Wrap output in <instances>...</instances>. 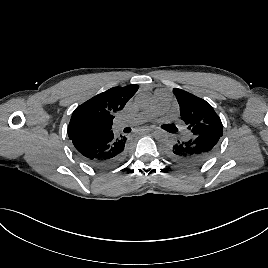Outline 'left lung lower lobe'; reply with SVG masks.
Returning a JSON list of instances; mask_svg holds the SVG:
<instances>
[{
    "mask_svg": "<svg viewBox=\"0 0 268 268\" xmlns=\"http://www.w3.org/2000/svg\"><path fill=\"white\" fill-rule=\"evenodd\" d=\"M220 138L216 134L191 136L188 140L173 142L167 151L170 158L181 165L198 166L212 157Z\"/></svg>",
    "mask_w": 268,
    "mask_h": 268,
    "instance_id": "1",
    "label": "left lung lower lobe"
}]
</instances>
